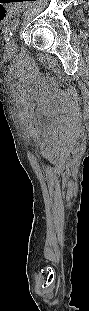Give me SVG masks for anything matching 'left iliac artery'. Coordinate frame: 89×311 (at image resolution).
Returning a JSON list of instances; mask_svg holds the SVG:
<instances>
[{"label":"left iliac artery","mask_w":89,"mask_h":311,"mask_svg":"<svg viewBox=\"0 0 89 311\" xmlns=\"http://www.w3.org/2000/svg\"><path fill=\"white\" fill-rule=\"evenodd\" d=\"M18 24H19L18 19H14L8 24L6 31H5V35H4V38L6 41H9L10 37L12 36L13 31L15 30Z\"/></svg>","instance_id":"left-iliac-artery-1"}]
</instances>
